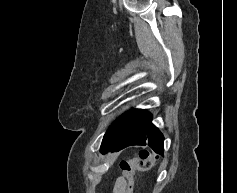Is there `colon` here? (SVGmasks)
Listing matches in <instances>:
<instances>
[{
  "mask_svg": "<svg viewBox=\"0 0 237 193\" xmlns=\"http://www.w3.org/2000/svg\"><path fill=\"white\" fill-rule=\"evenodd\" d=\"M153 161V154L148 150H143L138 156L120 162V168L126 181V193H132L135 172L149 170Z\"/></svg>",
  "mask_w": 237,
  "mask_h": 193,
  "instance_id": "1",
  "label": "colon"
}]
</instances>
